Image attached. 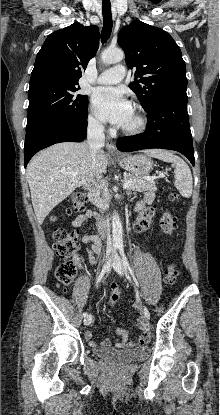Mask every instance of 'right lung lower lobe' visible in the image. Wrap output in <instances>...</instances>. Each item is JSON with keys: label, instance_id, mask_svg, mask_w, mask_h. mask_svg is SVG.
<instances>
[{"label": "right lung lower lobe", "instance_id": "right-lung-lower-lobe-1", "mask_svg": "<svg viewBox=\"0 0 220 415\" xmlns=\"http://www.w3.org/2000/svg\"><path fill=\"white\" fill-rule=\"evenodd\" d=\"M86 136L87 115L80 122L63 124L52 120L26 131L24 144L25 167L32 156L41 149L59 142H81Z\"/></svg>", "mask_w": 220, "mask_h": 415}]
</instances>
